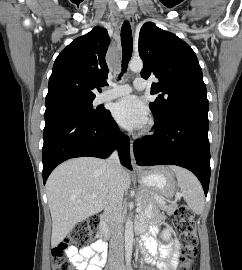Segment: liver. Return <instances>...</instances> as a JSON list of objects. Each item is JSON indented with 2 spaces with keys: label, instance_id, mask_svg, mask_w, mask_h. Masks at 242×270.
<instances>
[{
  "label": "liver",
  "instance_id": "6515ba94",
  "mask_svg": "<svg viewBox=\"0 0 242 270\" xmlns=\"http://www.w3.org/2000/svg\"><path fill=\"white\" fill-rule=\"evenodd\" d=\"M121 176L127 191L130 175L122 169ZM109 189L107 165L99 158H74L51 173L46 190L52 217V247L61 243L78 222L105 208Z\"/></svg>",
  "mask_w": 242,
  "mask_h": 270
}]
</instances>
